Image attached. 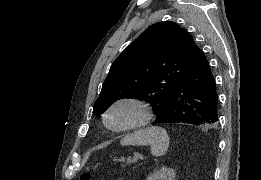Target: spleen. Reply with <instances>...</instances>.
I'll return each instance as SVG.
<instances>
[{"label": "spleen", "instance_id": "obj_1", "mask_svg": "<svg viewBox=\"0 0 261 180\" xmlns=\"http://www.w3.org/2000/svg\"><path fill=\"white\" fill-rule=\"evenodd\" d=\"M121 146H151V154L155 158L164 156L169 148V136L165 128L150 126L137 130L135 134H129L122 138Z\"/></svg>", "mask_w": 261, "mask_h": 180}]
</instances>
